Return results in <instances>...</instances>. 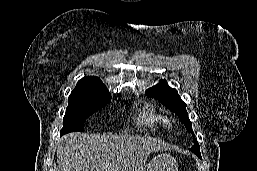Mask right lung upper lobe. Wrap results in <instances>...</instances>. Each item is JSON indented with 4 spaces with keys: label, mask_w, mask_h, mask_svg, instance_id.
I'll list each match as a JSON object with an SVG mask.
<instances>
[{
    "label": "right lung upper lobe",
    "mask_w": 257,
    "mask_h": 171,
    "mask_svg": "<svg viewBox=\"0 0 257 171\" xmlns=\"http://www.w3.org/2000/svg\"><path fill=\"white\" fill-rule=\"evenodd\" d=\"M75 89L108 92L106 86L102 83L100 78L95 76H87L79 80Z\"/></svg>",
    "instance_id": "obj_1"
}]
</instances>
